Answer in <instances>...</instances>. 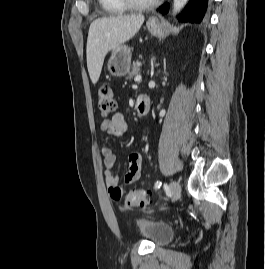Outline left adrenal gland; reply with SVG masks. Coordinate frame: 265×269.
Wrapping results in <instances>:
<instances>
[{
    "instance_id": "a2214340",
    "label": "left adrenal gland",
    "mask_w": 265,
    "mask_h": 269,
    "mask_svg": "<svg viewBox=\"0 0 265 269\" xmlns=\"http://www.w3.org/2000/svg\"><path fill=\"white\" fill-rule=\"evenodd\" d=\"M154 57L152 58V60H151V65H152V67L154 66Z\"/></svg>"
}]
</instances>
